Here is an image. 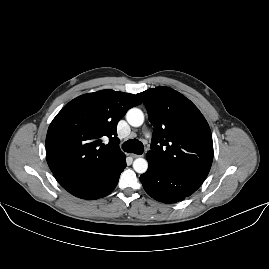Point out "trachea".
<instances>
[{
    "mask_svg": "<svg viewBox=\"0 0 269 269\" xmlns=\"http://www.w3.org/2000/svg\"><path fill=\"white\" fill-rule=\"evenodd\" d=\"M123 150L128 153L141 155L144 151V145L138 139H130L123 144Z\"/></svg>",
    "mask_w": 269,
    "mask_h": 269,
    "instance_id": "trachea-1",
    "label": "trachea"
}]
</instances>
